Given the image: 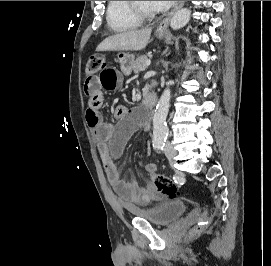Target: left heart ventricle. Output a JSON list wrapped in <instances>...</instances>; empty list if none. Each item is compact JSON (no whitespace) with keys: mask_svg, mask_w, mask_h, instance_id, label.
I'll use <instances>...</instances> for the list:
<instances>
[{"mask_svg":"<svg viewBox=\"0 0 271 266\" xmlns=\"http://www.w3.org/2000/svg\"><path fill=\"white\" fill-rule=\"evenodd\" d=\"M136 2L137 7H139L140 9H143L144 11L147 12H154L153 9L151 8L150 1H136Z\"/></svg>","mask_w":271,"mask_h":266,"instance_id":"obj_1","label":"left heart ventricle"}]
</instances>
